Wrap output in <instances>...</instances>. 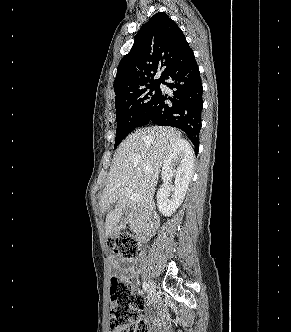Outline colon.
Returning a JSON list of instances; mask_svg holds the SVG:
<instances>
[{
    "mask_svg": "<svg viewBox=\"0 0 291 332\" xmlns=\"http://www.w3.org/2000/svg\"><path fill=\"white\" fill-rule=\"evenodd\" d=\"M107 245L113 253L128 261L137 259L140 253L136 237L128 232L111 236ZM110 299L111 332H149V325L141 318L144 300L134 293L125 276L118 274L111 277Z\"/></svg>",
    "mask_w": 291,
    "mask_h": 332,
    "instance_id": "5ec220e1",
    "label": "colon"
}]
</instances>
